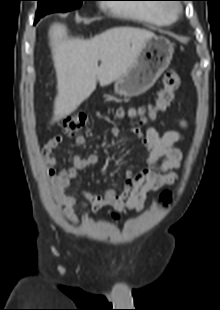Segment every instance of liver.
<instances>
[{
	"mask_svg": "<svg viewBox=\"0 0 220 310\" xmlns=\"http://www.w3.org/2000/svg\"><path fill=\"white\" fill-rule=\"evenodd\" d=\"M152 37L155 34L145 29L116 27L84 39L69 37L65 25L53 24L49 29V41L57 95L51 123L74 112L96 89L97 81L105 86L122 76Z\"/></svg>",
	"mask_w": 220,
	"mask_h": 310,
	"instance_id": "liver-1",
	"label": "liver"
}]
</instances>
